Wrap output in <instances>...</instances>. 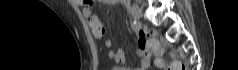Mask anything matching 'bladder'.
Returning <instances> with one entry per match:
<instances>
[{
	"instance_id": "bladder-1",
	"label": "bladder",
	"mask_w": 238,
	"mask_h": 70,
	"mask_svg": "<svg viewBox=\"0 0 238 70\" xmlns=\"http://www.w3.org/2000/svg\"><path fill=\"white\" fill-rule=\"evenodd\" d=\"M113 70H119V69L113 68Z\"/></svg>"
}]
</instances>
